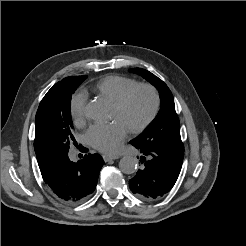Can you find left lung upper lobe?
<instances>
[{
  "label": "left lung upper lobe",
  "mask_w": 246,
  "mask_h": 246,
  "mask_svg": "<svg viewBox=\"0 0 246 246\" xmlns=\"http://www.w3.org/2000/svg\"><path fill=\"white\" fill-rule=\"evenodd\" d=\"M153 84L160 93L161 108L148 129L139 137L130 141L140 148L158 147L176 153H184L180 136V122L175 111L174 98L167 85L151 72L142 68L130 69Z\"/></svg>",
  "instance_id": "obj_1"
}]
</instances>
